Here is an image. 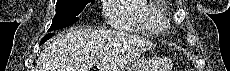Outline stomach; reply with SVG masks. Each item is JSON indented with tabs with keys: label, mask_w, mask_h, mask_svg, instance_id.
I'll return each instance as SVG.
<instances>
[{
	"label": "stomach",
	"mask_w": 230,
	"mask_h": 71,
	"mask_svg": "<svg viewBox=\"0 0 230 71\" xmlns=\"http://www.w3.org/2000/svg\"><path fill=\"white\" fill-rule=\"evenodd\" d=\"M159 66H155L153 68L148 67L145 64L135 63V64H128L124 66L120 71H168L169 67L172 65V62L169 58L163 57L158 60ZM151 69V70H150ZM156 69V70H152Z\"/></svg>",
	"instance_id": "1"
}]
</instances>
